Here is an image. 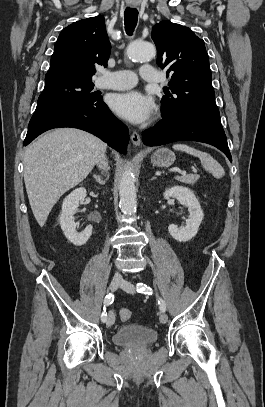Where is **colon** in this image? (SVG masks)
Segmentation results:
<instances>
[{
	"mask_svg": "<svg viewBox=\"0 0 265 407\" xmlns=\"http://www.w3.org/2000/svg\"><path fill=\"white\" fill-rule=\"evenodd\" d=\"M132 317H133V314H132V312L130 310L122 309L120 311V319H121V321H123V322L130 321L132 319Z\"/></svg>",
	"mask_w": 265,
	"mask_h": 407,
	"instance_id": "obj_1",
	"label": "colon"
}]
</instances>
